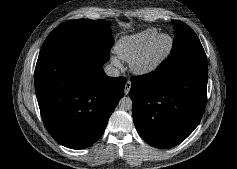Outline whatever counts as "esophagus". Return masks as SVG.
I'll return each instance as SVG.
<instances>
[{
  "mask_svg": "<svg viewBox=\"0 0 237 169\" xmlns=\"http://www.w3.org/2000/svg\"><path fill=\"white\" fill-rule=\"evenodd\" d=\"M130 88H131V81L127 80V82L125 83V89H124V94L125 95L129 94Z\"/></svg>",
  "mask_w": 237,
  "mask_h": 169,
  "instance_id": "obj_1",
  "label": "esophagus"
}]
</instances>
